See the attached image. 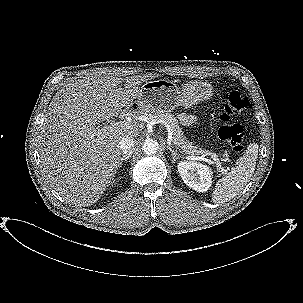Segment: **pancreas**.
I'll return each mask as SVG.
<instances>
[{
	"mask_svg": "<svg viewBox=\"0 0 303 303\" xmlns=\"http://www.w3.org/2000/svg\"><path fill=\"white\" fill-rule=\"evenodd\" d=\"M146 117H148L151 120H157L159 122L165 123V125L168 126V128L172 132L173 144L177 148H179L182 153L191 154V155L205 153L204 150L198 148V146L194 145L192 142L186 139L174 115L170 113H147ZM207 153L214 154L211 152H207Z\"/></svg>",
	"mask_w": 303,
	"mask_h": 303,
	"instance_id": "obj_1",
	"label": "pancreas"
}]
</instances>
